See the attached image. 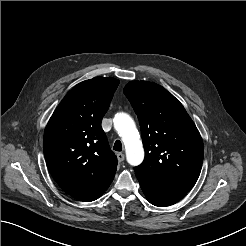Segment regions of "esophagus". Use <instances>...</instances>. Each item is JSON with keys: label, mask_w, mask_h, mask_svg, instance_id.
Returning <instances> with one entry per match:
<instances>
[{"label": "esophagus", "mask_w": 246, "mask_h": 246, "mask_svg": "<svg viewBox=\"0 0 246 246\" xmlns=\"http://www.w3.org/2000/svg\"><path fill=\"white\" fill-rule=\"evenodd\" d=\"M117 158L119 162H123L125 159V155L122 152L117 153Z\"/></svg>", "instance_id": "34e87169"}]
</instances>
